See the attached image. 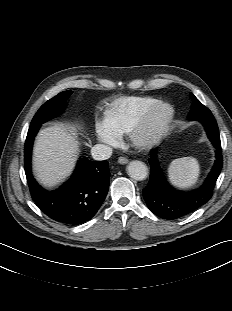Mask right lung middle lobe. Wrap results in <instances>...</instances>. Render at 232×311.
<instances>
[{
    "label": "right lung middle lobe",
    "instance_id": "obj_1",
    "mask_svg": "<svg viewBox=\"0 0 232 311\" xmlns=\"http://www.w3.org/2000/svg\"><path fill=\"white\" fill-rule=\"evenodd\" d=\"M72 94L71 90L59 93L57 96L48 100L35 114L30 127L40 126L42 123L54 118L65 110L66 101Z\"/></svg>",
    "mask_w": 232,
    "mask_h": 311
}]
</instances>
